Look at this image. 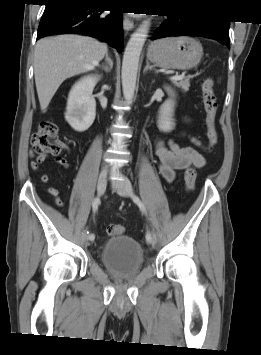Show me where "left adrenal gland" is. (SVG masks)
<instances>
[{
    "instance_id": "1",
    "label": "left adrenal gland",
    "mask_w": 261,
    "mask_h": 355,
    "mask_svg": "<svg viewBox=\"0 0 261 355\" xmlns=\"http://www.w3.org/2000/svg\"><path fill=\"white\" fill-rule=\"evenodd\" d=\"M148 70L152 71V70H155V68H153V67L149 64L148 60H146V66H145V68H144V70H143V73L147 72Z\"/></svg>"
}]
</instances>
